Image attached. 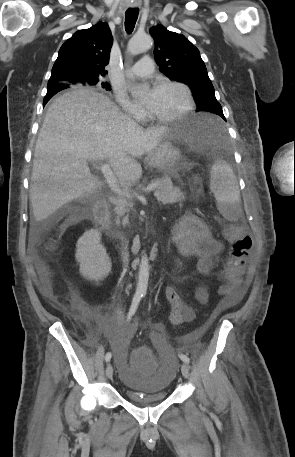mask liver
Returning a JSON list of instances; mask_svg holds the SVG:
<instances>
[{
	"instance_id": "obj_1",
	"label": "liver",
	"mask_w": 295,
	"mask_h": 457,
	"mask_svg": "<svg viewBox=\"0 0 295 457\" xmlns=\"http://www.w3.org/2000/svg\"><path fill=\"white\" fill-rule=\"evenodd\" d=\"M168 130L143 129L106 95L91 89L57 97L47 110L34 151L30 202L35 220L101 188L88 161L107 160L125 189L134 185L142 175L136 158L156 148Z\"/></svg>"
}]
</instances>
